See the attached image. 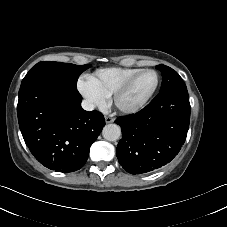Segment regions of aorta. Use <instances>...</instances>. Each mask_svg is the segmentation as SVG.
<instances>
[{
    "instance_id": "aorta-1",
    "label": "aorta",
    "mask_w": 227,
    "mask_h": 227,
    "mask_svg": "<svg viewBox=\"0 0 227 227\" xmlns=\"http://www.w3.org/2000/svg\"><path fill=\"white\" fill-rule=\"evenodd\" d=\"M102 136L107 141H116L121 136V129L116 124H108L103 128Z\"/></svg>"
}]
</instances>
